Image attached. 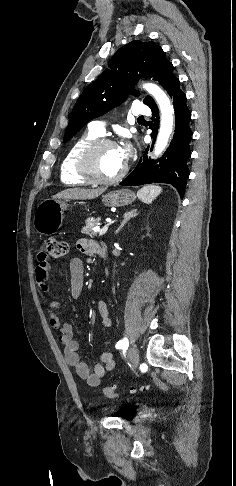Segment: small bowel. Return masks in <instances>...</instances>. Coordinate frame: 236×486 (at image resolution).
I'll return each instance as SVG.
<instances>
[{
  "instance_id": "obj_1",
  "label": "small bowel",
  "mask_w": 236,
  "mask_h": 486,
  "mask_svg": "<svg viewBox=\"0 0 236 486\" xmlns=\"http://www.w3.org/2000/svg\"><path fill=\"white\" fill-rule=\"evenodd\" d=\"M78 249L84 254H93L98 251V245L95 241L82 238L78 241ZM70 269V288L69 294L73 299L80 297L84 285V265L81 259L72 257L69 260ZM50 265L47 259L41 254L35 268V278L40 288L47 292L49 290ZM98 311L101 317V323L104 327L110 328L112 320L107 304L104 300H99ZM61 304L57 300H50L47 304L50 325L58 330L59 340L64 347V356L66 362L74 368L77 375L90 386H98L101 378L107 371L115 367L114 355L111 352H103L100 356L101 363L89 365L82 359L79 354V343L74 338V332L71 324L63 321L60 316Z\"/></svg>"
}]
</instances>
